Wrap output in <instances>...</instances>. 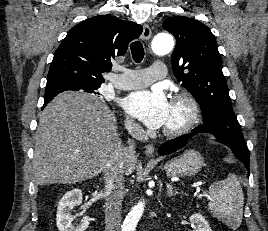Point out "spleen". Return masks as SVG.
<instances>
[{
  "label": "spleen",
  "mask_w": 268,
  "mask_h": 231,
  "mask_svg": "<svg viewBox=\"0 0 268 231\" xmlns=\"http://www.w3.org/2000/svg\"><path fill=\"white\" fill-rule=\"evenodd\" d=\"M244 195L234 174L210 186L208 208L217 219L237 229L242 222Z\"/></svg>",
  "instance_id": "spleen-1"
}]
</instances>
